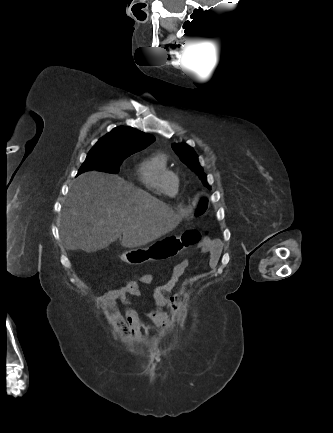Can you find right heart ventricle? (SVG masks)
Masks as SVG:
<instances>
[{
	"label": "right heart ventricle",
	"instance_id": "1",
	"mask_svg": "<svg viewBox=\"0 0 333 433\" xmlns=\"http://www.w3.org/2000/svg\"><path fill=\"white\" fill-rule=\"evenodd\" d=\"M169 171L171 170L168 159L165 154L160 152L152 153L136 165L138 180L148 191L160 196L174 197L179 192V180L172 195L165 192L162 184L163 176Z\"/></svg>",
	"mask_w": 333,
	"mask_h": 433
}]
</instances>
